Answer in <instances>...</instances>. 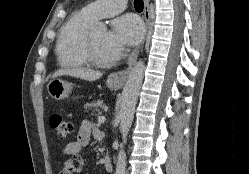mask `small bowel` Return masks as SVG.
<instances>
[{
    "label": "small bowel",
    "mask_w": 249,
    "mask_h": 174,
    "mask_svg": "<svg viewBox=\"0 0 249 174\" xmlns=\"http://www.w3.org/2000/svg\"><path fill=\"white\" fill-rule=\"evenodd\" d=\"M91 136L102 137L91 121L84 120L80 125L77 139L69 142L62 150L67 160L62 164L59 174H75L81 170L83 161L80 152L87 146Z\"/></svg>",
    "instance_id": "1"
}]
</instances>
